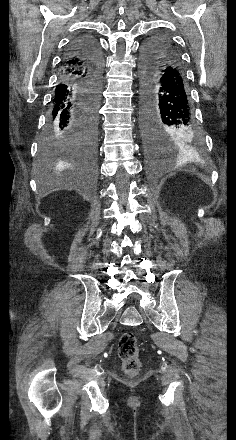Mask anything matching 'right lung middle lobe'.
<instances>
[{
  "label": "right lung middle lobe",
  "mask_w": 236,
  "mask_h": 440,
  "mask_svg": "<svg viewBox=\"0 0 236 440\" xmlns=\"http://www.w3.org/2000/svg\"><path fill=\"white\" fill-rule=\"evenodd\" d=\"M100 92L101 89L98 88L96 85H87L85 88V93L87 99L92 104V110L90 115V125L89 129L82 134V137L79 139L80 145H90L94 142L96 139V132H97V108L99 104L100 99ZM77 144L73 139H70L66 137L65 135H48L46 136L42 147L40 151V159L44 163H50L56 159L58 156L59 151H61L63 148L68 147L71 148L73 146H76ZM79 153L82 155V157L89 163L94 162V157H85L83 153L79 151ZM69 157L74 158L73 153H69Z\"/></svg>",
  "instance_id": "right-lung-middle-lobe-1"
}]
</instances>
